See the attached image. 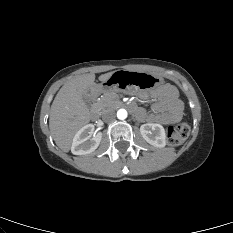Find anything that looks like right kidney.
<instances>
[{"label":"right kidney","instance_id":"right-kidney-1","mask_svg":"<svg viewBox=\"0 0 233 233\" xmlns=\"http://www.w3.org/2000/svg\"><path fill=\"white\" fill-rule=\"evenodd\" d=\"M94 125L87 124L83 126L74 136L71 152L74 155H86L97 149L101 141V133L91 137Z\"/></svg>","mask_w":233,"mask_h":233}]
</instances>
